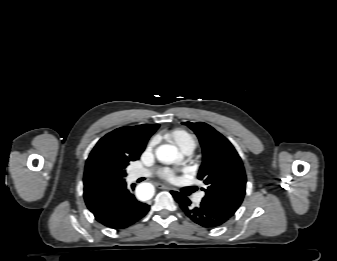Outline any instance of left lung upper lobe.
Here are the masks:
<instances>
[{
	"instance_id": "1",
	"label": "left lung upper lobe",
	"mask_w": 337,
	"mask_h": 261,
	"mask_svg": "<svg viewBox=\"0 0 337 261\" xmlns=\"http://www.w3.org/2000/svg\"><path fill=\"white\" fill-rule=\"evenodd\" d=\"M198 136L203 151V162L198 179L207 188L202 202L231 218L241 205L246 186L245 170L233 145L210 125L184 122Z\"/></svg>"
}]
</instances>
